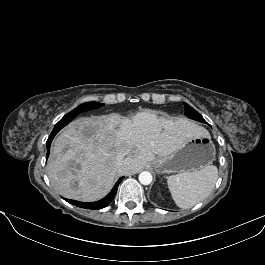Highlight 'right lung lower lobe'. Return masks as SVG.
I'll list each match as a JSON object with an SVG mask.
<instances>
[{
  "label": "right lung lower lobe",
  "instance_id": "obj_1",
  "mask_svg": "<svg viewBox=\"0 0 265 265\" xmlns=\"http://www.w3.org/2000/svg\"><path fill=\"white\" fill-rule=\"evenodd\" d=\"M63 127H61V126L54 127L52 133L50 134V136H49V138H48V140L46 142V145H47V156H46V159L49 156V153H50V145H51V142H52L53 138L55 137V135ZM123 178L124 177L119 178V180L116 182L115 186L110 191V193L105 198H103V199H101L99 201L87 203V202H80V201H75V200H70V199H65V200L67 202H69V203H71V204H73L75 206L81 207V208H86V209H102V208L106 207L113 200V198H114V196H115V194L117 192L118 185L122 181Z\"/></svg>",
  "mask_w": 265,
  "mask_h": 265
}]
</instances>
